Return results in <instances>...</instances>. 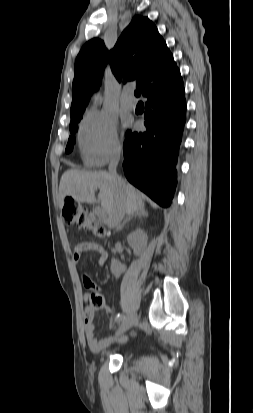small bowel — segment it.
Returning <instances> with one entry per match:
<instances>
[{"label": "small bowel", "instance_id": "1", "mask_svg": "<svg viewBox=\"0 0 253 413\" xmlns=\"http://www.w3.org/2000/svg\"><path fill=\"white\" fill-rule=\"evenodd\" d=\"M94 251L98 256V263L100 266H103L108 254L107 251L100 245L93 243V242H81L78 243L73 252V260L74 262L79 265L81 261L82 254L84 252ZM83 281L85 286L88 288L91 284H93L92 280L88 275H84ZM88 297H85L86 306L84 311V331H85V338L87 340L88 346L93 353H100L103 349H105L108 345L116 340L114 336L106 337L103 339H97L95 337L96 325L94 323V310L93 308L87 303ZM115 321V318L113 319ZM119 341L125 340V337L118 339Z\"/></svg>", "mask_w": 253, "mask_h": 413}]
</instances>
